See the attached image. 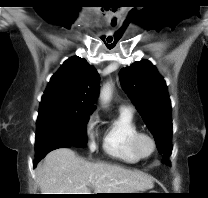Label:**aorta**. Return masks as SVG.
I'll return each mask as SVG.
<instances>
[{
  "mask_svg": "<svg viewBox=\"0 0 208 198\" xmlns=\"http://www.w3.org/2000/svg\"><path fill=\"white\" fill-rule=\"evenodd\" d=\"M112 95V86L107 83L103 86V88L100 91V99L103 104H106L110 101Z\"/></svg>",
  "mask_w": 208,
  "mask_h": 198,
  "instance_id": "aorta-1",
  "label": "aorta"
}]
</instances>
